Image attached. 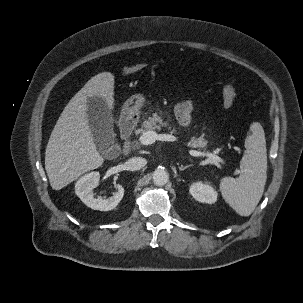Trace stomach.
<instances>
[{"label": "stomach", "mask_w": 303, "mask_h": 303, "mask_svg": "<svg viewBox=\"0 0 303 303\" xmlns=\"http://www.w3.org/2000/svg\"><path fill=\"white\" fill-rule=\"evenodd\" d=\"M145 104V96L143 94H135L131 96L124 104L123 114L133 118L139 114V110Z\"/></svg>", "instance_id": "0dacf381"}]
</instances>
